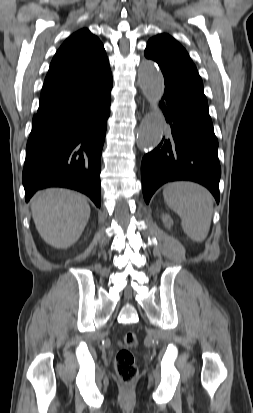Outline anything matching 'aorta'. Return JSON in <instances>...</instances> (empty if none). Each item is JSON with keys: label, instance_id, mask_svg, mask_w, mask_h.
<instances>
[{"label": "aorta", "instance_id": "1", "mask_svg": "<svg viewBox=\"0 0 253 413\" xmlns=\"http://www.w3.org/2000/svg\"><path fill=\"white\" fill-rule=\"evenodd\" d=\"M138 81L150 103V112L140 125L136 142L140 149L151 150L161 142L165 129V119L158 107L164 93V78L153 61L145 60L139 68Z\"/></svg>", "mask_w": 253, "mask_h": 413}]
</instances>
